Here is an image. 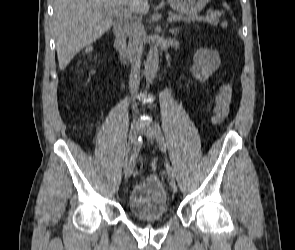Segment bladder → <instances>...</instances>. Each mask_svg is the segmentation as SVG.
I'll return each instance as SVG.
<instances>
[{
	"label": "bladder",
	"instance_id": "1",
	"mask_svg": "<svg viewBox=\"0 0 295 250\" xmlns=\"http://www.w3.org/2000/svg\"><path fill=\"white\" fill-rule=\"evenodd\" d=\"M127 207L136 219H163L167 213L168 199L160 179L156 175H149L139 181L129 194Z\"/></svg>",
	"mask_w": 295,
	"mask_h": 250
}]
</instances>
